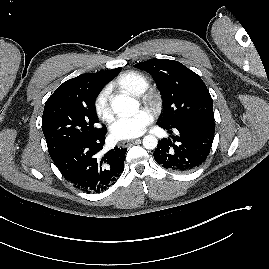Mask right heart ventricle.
<instances>
[{
  "label": "right heart ventricle",
  "mask_w": 269,
  "mask_h": 269,
  "mask_svg": "<svg viewBox=\"0 0 269 269\" xmlns=\"http://www.w3.org/2000/svg\"><path fill=\"white\" fill-rule=\"evenodd\" d=\"M115 85L121 91L136 96L147 89L149 82L144 74L137 71H127L116 79Z\"/></svg>",
  "instance_id": "e07e8e85"
}]
</instances>
